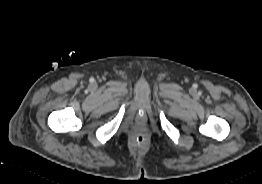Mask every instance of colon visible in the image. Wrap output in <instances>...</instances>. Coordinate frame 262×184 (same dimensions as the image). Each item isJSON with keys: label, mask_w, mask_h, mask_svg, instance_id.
I'll use <instances>...</instances> for the list:
<instances>
[{"label": "colon", "mask_w": 262, "mask_h": 184, "mask_svg": "<svg viewBox=\"0 0 262 184\" xmlns=\"http://www.w3.org/2000/svg\"><path fill=\"white\" fill-rule=\"evenodd\" d=\"M139 138V140L141 141V142H143L144 141V137L142 136V135H138L137 136V139Z\"/></svg>", "instance_id": "colon-1"}]
</instances>
